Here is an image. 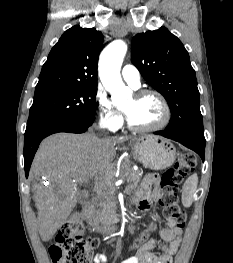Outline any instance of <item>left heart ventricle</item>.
<instances>
[{
  "label": "left heart ventricle",
  "instance_id": "obj_1",
  "mask_svg": "<svg viewBox=\"0 0 233 263\" xmlns=\"http://www.w3.org/2000/svg\"><path fill=\"white\" fill-rule=\"evenodd\" d=\"M131 124L149 127L158 124L164 115L160 102L153 96L137 99L134 95L122 108Z\"/></svg>",
  "mask_w": 233,
  "mask_h": 263
}]
</instances>
